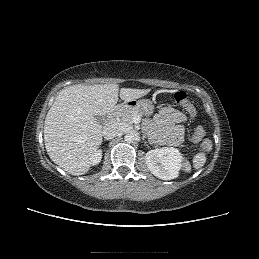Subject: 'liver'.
Masks as SVG:
<instances>
[{"label": "liver", "instance_id": "liver-1", "mask_svg": "<svg viewBox=\"0 0 259 259\" xmlns=\"http://www.w3.org/2000/svg\"><path fill=\"white\" fill-rule=\"evenodd\" d=\"M149 91L121 88L119 95L128 102ZM118 93L116 84H78L58 93L44 124L45 148L55 164L75 176L88 172L92 155L102 143V126L95 117L115 108Z\"/></svg>", "mask_w": 259, "mask_h": 259}]
</instances>
